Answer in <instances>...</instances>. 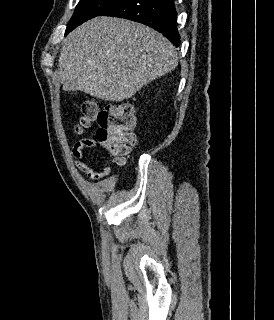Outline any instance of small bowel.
<instances>
[{
  "label": "small bowel",
  "instance_id": "1",
  "mask_svg": "<svg viewBox=\"0 0 274 320\" xmlns=\"http://www.w3.org/2000/svg\"><path fill=\"white\" fill-rule=\"evenodd\" d=\"M98 145V142L96 140H90V139H80L76 142L75 147L73 149V160L75 163V166L83 173H85L87 176H89L92 179H99L102 177L107 176L110 173V166L105 165L102 171H95L92 168H90L84 161V150L86 148L90 147H96Z\"/></svg>",
  "mask_w": 274,
  "mask_h": 320
}]
</instances>
